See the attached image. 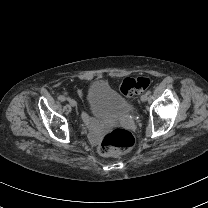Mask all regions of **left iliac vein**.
I'll list each match as a JSON object with an SVG mask.
<instances>
[{
  "label": "left iliac vein",
  "instance_id": "4c4485c4",
  "mask_svg": "<svg viewBox=\"0 0 208 208\" xmlns=\"http://www.w3.org/2000/svg\"><path fill=\"white\" fill-rule=\"evenodd\" d=\"M147 99H148V95H147V94H143V95L141 96V101H142V102L147 101Z\"/></svg>",
  "mask_w": 208,
  "mask_h": 208
}]
</instances>
